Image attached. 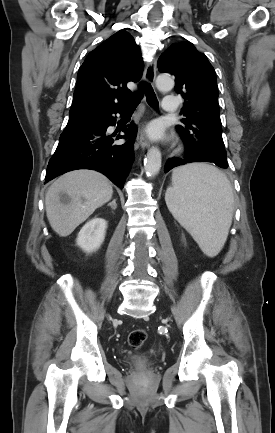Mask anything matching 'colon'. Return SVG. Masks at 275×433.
<instances>
[{
	"mask_svg": "<svg viewBox=\"0 0 275 433\" xmlns=\"http://www.w3.org/2000/svg\"><path fill=\"white\" fill-rule=\"evenodd\" d=\"M146 339V331L143 329H136L129 334L128 344L132 349L138 350L144 345Z\"/></svg>",
	"mask_w": 275,
	"mask_h": 433,
	"instance_id": "obj_1",
	"label": "colon"
}]
</instances>
